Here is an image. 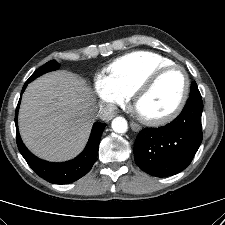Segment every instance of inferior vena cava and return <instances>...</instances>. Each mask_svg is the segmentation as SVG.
Instances as JSON below:
<instances>
[{
  "label": "inferior vena cava",
  "mask_w": 225,
  "mask_h": 225,
  "mask_svg": "<svg viewBox=\"0 0 225 225\" xmlns=\"http://www.w3.org/2000/svg\"><path fill=\"white\" fill-rule=\"evenodd\" d=\"M116 109L117 108L112 104L100 105L97 117L102 120H109L114 116Z\"/></svg>",
  "instance_id": "inferior-vena-cava-1"
}]
</instances>
